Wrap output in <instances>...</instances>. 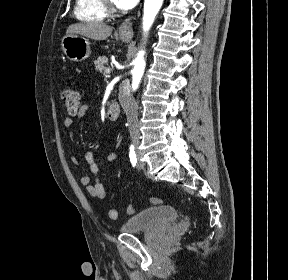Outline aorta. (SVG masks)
I'll return each instance as SVG.
<instances>
[{
	"label": "aorta",
	"mask_w": 288,
	"mask_h": 280,
	"mask_svg": "<svg viewBox=\"0 0 288 280\" xmlns=\"http://www.w3.org/2000/svg\"><path fill=\"white\" fill-rule=\"evenodd\" d=\"M163 0H145L144 1V14H143V31L147 33L151 28L157 13L159 12ZM145 51L140 50L134 60V68L132 70V90L135 91L145 70Z\"/></svg>",
	"instance_id": "1"
}]
</instances>
